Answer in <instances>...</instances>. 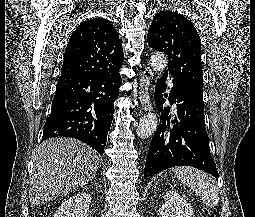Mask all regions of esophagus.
I'll return each mask as SVG.
<instances>
[{
    "label": "esophagus",
    "mask_w": 255,
    "mask_h": 217,
    "mask_svg": "<svg viewBox=\"0 0 255 217\" xmlns=\"http://www.w3.org/2000/svg\"><path fill=\"white\" fill-rule=\"evenodd\" d=\"M153 79V72L150 67H145L141 72L139 99L145 111H152V101L149 89Z\"/></svg>",
    "instance_id": "obj_1"
}]
</instances>
